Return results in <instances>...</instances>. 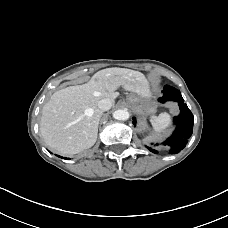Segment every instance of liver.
<instances>
[{
    "label": "liver",
    "mask_w": 228,
    "mask_h": 228,
    "mask_svg": "<svg viewBox=\"0 0 228 228\" xmlns=\"http://www.w3.org/2000/svg\"><path fill=\"white\" fill-rule=\"evenodd\" d=\"M120 87L141 97L150 93L144 74L117 67L98 71L85 84L56 91L42 109L40 132L45 143L63 155L92 147L103 112L98 102L109 98L113 103Z\"/></svg>",
    "instance_id": "obj_1"
}]
</instances>
